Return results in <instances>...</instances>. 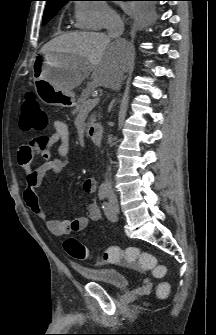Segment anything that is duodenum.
<instances>
[{
  "instance_id": "410a0bca",
  "label": "duodenum",
  "mask_w": 216,
  "mask_h": 335,
  "mask_svg": "<svg viewBox=\"0 0 216 335\" xmlns=\"http://www.w3.org/2000/svg\"><path fill=\"white\" fill-rule=\"evenodd\" d=\"M88 137L95 145H100L102 141L103 129L100 124H95L88 129Z\"/></svg>"
}]
</instances>
